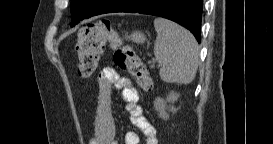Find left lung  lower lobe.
Segmentation results:
<instances>
[{
	"label": "left lung lower lobe",
	"instance_id": "0a47b994",
	"mask_svg": "<svg viewBox=\"0 0 273 144\" xmlns=\"http://www.w3.org/2000/svg\"><path fill=\"white\" fill-rule=\"evenodd\" d=\"M202 9L203 0H96L91 8L72 15L70 25L99 14L138 12L175 21L190 30L200 43Z\"/></svg>",
	"mask_w": 273,
	"mask_h": 144
}]
</instances>
